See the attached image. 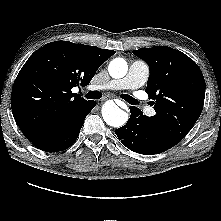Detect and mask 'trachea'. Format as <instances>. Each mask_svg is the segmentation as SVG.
Listing matches in <instances>:
<instances>
[{
  "label": "trachea",
  "instance_id": "obj_1",
  "mask_svg": "<svg viewBox=\"0 0 221 221\" xmlns=\"http://www.w3.org/2000/svg\"><path fill=\"white\" fill-rule=\"evenodd\" d=\"M85 97L87 99H92V100H97V99H100L102 97V93L99 92V91H91V92H88ZM122 98L127 101L129 104H132V105H135L138 103V101L133 98L132 96L130 95H127V94H123L122 95Z\"/></svg>",
  "mask_w": 221,
  "mask_h": 221
}]
</instances>
